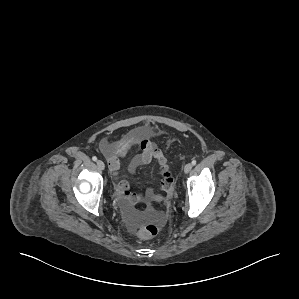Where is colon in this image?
Here are the masks:
<instances>
[{
    "label": "colon",
    "mask_w": 299,
    "mask_h": 299,
    "mask_svg": "<svg viewBox=\"0 0 299 299\" xmlns=\"http://www.w3.org/2000/svg\"><path fill=\"white\" fill-rule=\"evenodd\" d=\"M159 231H160L159 225L152 223L142 227L138 231V235L143 239H149L156 236L159 233Z\"/></svg>",
    "instance_id": "colon-1"
}]
</instances>
